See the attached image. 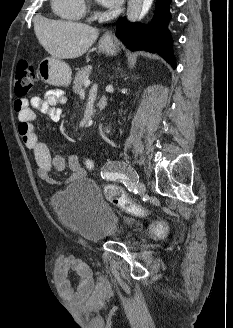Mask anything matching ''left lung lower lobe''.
<instances>
[{"label":"left lung lower lobe","mask_w":233,"mask_h":328,"mask_svg":"<svg viewBox=\"0 0 233 328\" xmlns=\"http://www.w3.org/2000/svg\"><path fill=\"white\" fill-rule=\"evenodd\" d=\"M171 0H157L156 12L150 26L129 23L125 18L118 21L117 37L132 50L156 52L174 69L176 62L172 53V38L167 30L171 18L169 3Z\"/></svg>","instance_id":"left-lung-lower-lobe-1"}]
</instances>
